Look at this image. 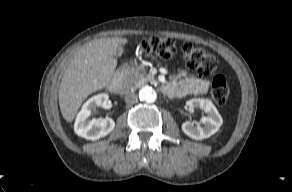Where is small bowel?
Wrapping results in <instances>:
<instances>
[{
    "mask_svg": "<svg viewBox=\"0 0 292 192\" xmlns=\"http://www.w3.org/2000/svg\"><path fill=\"white\" fill-rule=\"evenodd\" d=\"M210 85V79L191 77L186 75L184 71H180L166 85L164 91L171 97L181 98L188 95L205 94L208 92Z\"/></svg>",
    "mask_w": 292,
    "mask_h": 192,
    "instance_id": "small-bowel-1",
    "label": "small bowel"
}]
</instances>
